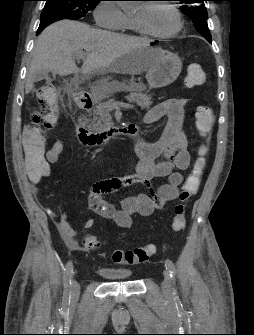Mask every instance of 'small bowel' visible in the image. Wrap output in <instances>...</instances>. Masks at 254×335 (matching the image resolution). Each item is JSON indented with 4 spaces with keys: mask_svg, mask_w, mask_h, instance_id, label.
I'll return each instance as SVG.
<instances>
[{
    "mask_svg": "<svg viewBox=\"0 0 254 335\" xmlns=\"http://www.w3.org/2000/svg\"><path fill=\"white\" fill-rule=\"evenodd\" d=\"M185 98H170L155 105L145 116L146 123H154L167 116V124L161 135L148 141L140 134L134 140V147L139 158L136 172L132 175L102 179L93 184L88 199L89 208L104 220L113 222L120 228L128 229L132 226L133 216H149L155 210L161 209L167 202L176 200L180 186L183 183V171L190 164L188 140L183 131L185 117ZM64 150V143L56 139L47 150L45 158L51 164L59 161ZM166 178L167 182L156 188H150L148 194H138L124 198L120 208L105 198V194L114 193L122 188L132 185H149L155 178ZM36 183L42 178H29ZM50 216L56 219V226L70 249H79L77 232L67 219V214L62 212L57 218L51 212ZM94 219L88 218L85 228H91Z\"/></svg>",
    "mask_w": 254,
    "mask_h": 335,
    "instance_id": "c3829d8e",
    "label": "small bowel"
}]
</instances>
